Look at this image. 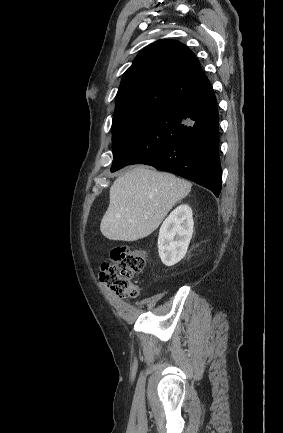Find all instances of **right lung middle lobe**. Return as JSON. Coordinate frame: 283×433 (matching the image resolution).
<instances>
[{
    "instance_id": "right-lung-middle-lobe-1",
    "label": "right lung middle lobe",
    "mask_w": 283,
    "mask_h": 433,
    "mask_svg": "<svg viewBox=\"0 0 283 433\" xmlns=\"http://www.w3.org/2000/svg\"><path fill=\"white\" fill-rule=\"evenodd\" d=\"M161 112V110L153 108L136 106L115 109L112 120L113 158L129 144L149 121Z\"/></svg>"
}]
</instances>
